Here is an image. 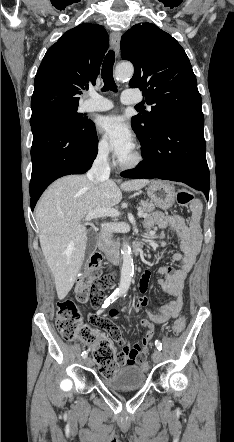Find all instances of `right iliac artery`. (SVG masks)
Segmentation results:
<instances>
[{
  "instance_id": "obj_1",
  "label": "right iliac artery",
  "mask_w": 234,
  "mask_h": 442,
  "mask_svg": "<svg viewBox=\"0 0 234 442\" xmlns=\"http://www.w3.org/2000/svg\"><path fill=\"white\" fill-rule=\"evenodd\" d=\"M119 293L118 292H113L103 303L102 308H107L112 302H114L118 297H119ZM82 357L86 358L87 357V352L84 351L82 353Z\"/></svg>"
}]
</instances>
